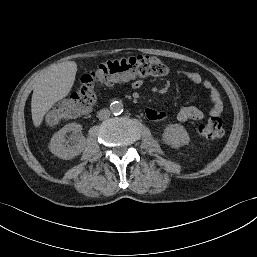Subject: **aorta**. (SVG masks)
Returning <instances> with one entry per match:
<instances>
[{
	"instance_id": "762f6f07",
	"label": "aorta",
	"mask_w": 257,
	"mask_h": 257,
	"mask_svg": "<svg viewBox=\"0 0 257 257\" xmlns=\"http://www.w3.org/2000/svg\"><path fill=\"white\" fill-rule=\"evenodd\" d=\"M110 110L114 115H119L123 112L124 106L122 102L114 101L110 104Z\"/></svg>"
}]
</instances>
